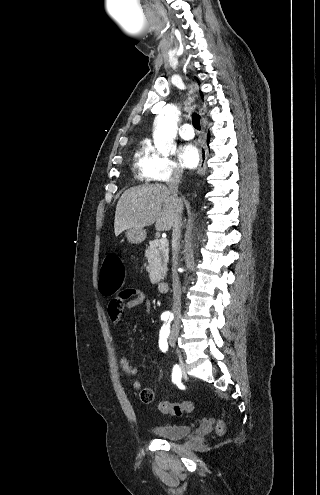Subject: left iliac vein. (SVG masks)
Here are the masks:
<instances>
[{"instance_id": "obj_1", "label": "left iliac vein", "mask_w": 320, "mask_h": 495, "mask_svg": "<svg viewBox=\"0 0 320 495\" xmlns=\"http://www.w3.org/2000/svg\"><path fill=\"white\" fill-rule=\"evenodd\" d=\"M169 342H170V345H171L172 347H174V345H175V335H174V334H172V335L170 336Z\"/></svg>"}]
</instances>
